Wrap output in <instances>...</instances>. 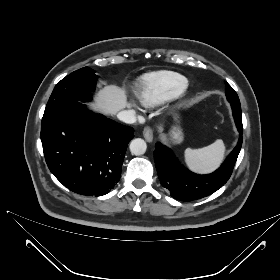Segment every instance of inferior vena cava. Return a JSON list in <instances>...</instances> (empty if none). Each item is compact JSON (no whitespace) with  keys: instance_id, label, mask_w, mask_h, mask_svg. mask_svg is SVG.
Listing matches in <instances>:
<instances>
[{"instance_id":"inferior-vena-cava-1","label":"inferior vena cava","mask_w":280,"mask_h":280,"mask_svg":"<svg viewBox=\"0 0 280 280\" xmlns=\"http://www.w3.org/2000/svg\"><path fill=\"white\" fill-rule=\"evenodd\" d=\"M117 118L125 123L133 124L136 122L135 112L132 110H123L117 114Z\"/></svg>"}]
</instances>
